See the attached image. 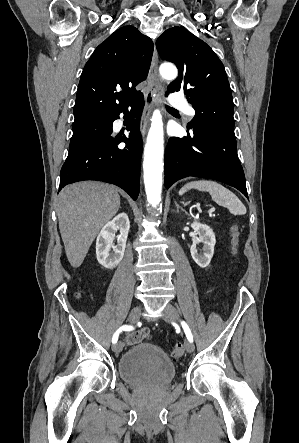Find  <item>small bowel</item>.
<instances>
[{
    "label": "small bowel",
    "instance_id": "small-bowel-1",
    "mask_svg": "<svg viewBox=\"0 0 299 443\" xmlns=\"http://www.w3.org/2000/svg\"><path fill=\"white\" fill-rule=\"evenodd\" d=\"M150 338V330L148 328H143L138 332L128 334L126 336V343L128 345H135Z\"/></svg>",
    "mask_w": 299,
    "mask_h": 443
}]
</instances>
